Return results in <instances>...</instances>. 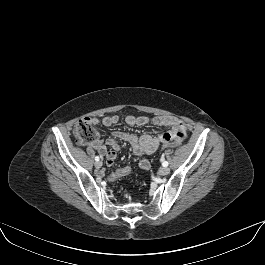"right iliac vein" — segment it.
<instances>
[{"instance_id":"obj_1","label":"right iliac vein","mask_w":265,"mask_h":265,"mask_svg":"<svg viewBox=\"0 0 265 265\" xmlns=\"http://www.w3.org/2000/svg\"><path fill=\"white\" fill-rule=\"evenodd\" d=\"M101 166H102V162L101 161L95 162V167L96 168H101Z\"/></svg>"}]
</instances>
